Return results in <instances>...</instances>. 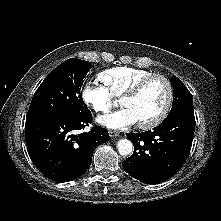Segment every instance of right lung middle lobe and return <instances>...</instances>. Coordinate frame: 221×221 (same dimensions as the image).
Instances as JSON below:
<instances>
[{
	"mask_svg": "<svg viewBox=\"0 0 221 221\" xmlns=\"http://www.w3.org/2000/svg\"><path fill=\"white\" fill-rule=\"evenodd\" d=\"M90 68L91 62L70 58L51 71L36 90L27 119L40 116L77 118L91 113L80 91Z\"/></svg>",
	"mask_w": 221,
	"mask_h": 221,
	"instance_id": "obj_1",
	"label": "right lung middle lobe"
}]
</instances>
